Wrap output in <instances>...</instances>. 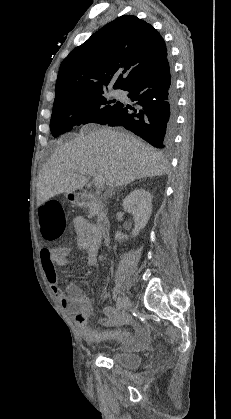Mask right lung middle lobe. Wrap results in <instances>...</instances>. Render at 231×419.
I'll list each match as a JSON object with an SVG mask.
<instances>
[{"mask_svg":"<svg viewBox=\"0 0 231 419\" xmlns=\"http://www.w3.org/2000/svg\"><path fill=\"white\" fill-rule=\"evenodd\" d=\"M105 92L106 90L54 103L50 121L52 135L58 137L70 131L73 126L90 122L101 123L107 119L121 102L107 99Z\"/></svg>","mask_w":231,"mask_h":419,"instance_id":"dd1d6c3e","label":"right lung middle lobe"}]
</instances>
